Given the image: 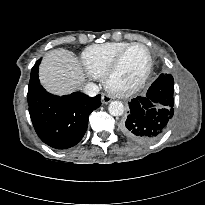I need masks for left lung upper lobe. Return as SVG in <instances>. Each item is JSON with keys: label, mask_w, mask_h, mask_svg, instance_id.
Listing matches in <instances>:
<instances>
[{"label": "left lung upper lobe", "mask_w": 205, "mask_h": 205, "mask_svg": "<svg viewBox=\"0 0 205 205\" xmlns=\"http://www.w3.org/2000/svg\"><path fill=\"white\" fill-rule=\"evenodd\" d=\"M155 87L159 89H164L166 92L171 94L168 97L173 98L174 79L170 74H161L149 89H153Z\"/></svg>", "instance_id": "1"}]
</instances>
